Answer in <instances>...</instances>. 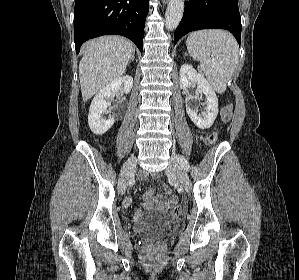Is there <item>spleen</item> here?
Masks as SVG:
<instances>
[{
    "label": "spleen",
    "mask_w": 299,
    "mask_h": 280,
    "mask_svg": "<svg viewBox=\"0 0 299 280\" xmlns=\"http://www.w3.org/2000/svg\"><path fill=\"white\" fill-rule=\"evenodd\" d=\"M186 46L190 56L200 61L211 87L217 93H224L239 59L235 39L222 30H201L188 36Z\"/></svg>",
    "instance_id": "3e777b00"
}]
</instances>
